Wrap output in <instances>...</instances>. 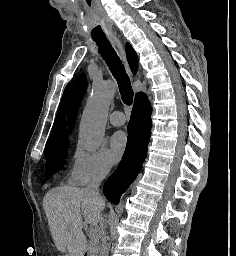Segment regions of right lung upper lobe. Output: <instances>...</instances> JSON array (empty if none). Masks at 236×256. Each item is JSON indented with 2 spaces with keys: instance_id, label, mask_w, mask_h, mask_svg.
<instances>
[{
  "instance_id": "cb5924a9",
  "label": "right lung upper lobe",
  "mask_w": 236,
  "mask_h": 256,
  "mask_svg": "<svg viewBox=\"0 0 236 256\" xmlns=\"http://www.w3.org/2000/svg\"><path fill=\"white\" fill-rule=\"evenodd\" d=\"M126 55H127V59L132 72L136 73L137 67H138V57L134 49L132 48V46L128 43L126 44ZM71 83L72 82H70L64 90V94L62 96V100L59 106L56 120L54 122L52 133L48 139V142L58 141L67 137L66 123H65V108H66V102H67L68 92H69Z\"/></svg>"
}]
</instances>
